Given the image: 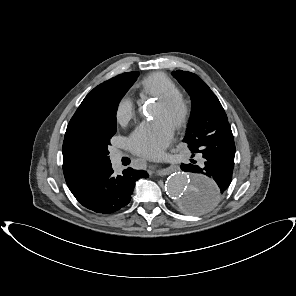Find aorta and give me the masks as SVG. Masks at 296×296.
<instances>
[{
    "mask_svg": "<svg viewBox=\"0 0 296 296\" xmlns=\"http://www.w3.org/2000/svg\"><path fill=\"white\" fill-rule=\"evenodd\" d=\"M165 191L176 206L186 213L203 214L210 211L218 199L216 182L203 175L175 172L166 181Z\"/></svg>",
    "mask_w": 296,
    "mask_h": 296,
    "instance_id": "1",
    "label": "aorta"
}]
</instances>
